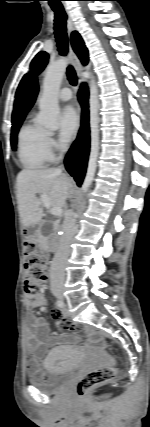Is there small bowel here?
Here are the masks:
<instances>
[{"label": "small bowel", "mask_w": 150, "mask_h": 427, "mask_svg": "<svg viewBox=\"0 0 150 427\" xmlns=\"http://www.w3.org/2000/svg\"><path fill=\"white\" fill-rule=\"evenodd\" d=\"M45 302L44 294L38 292L30 295L27 300L29 310L43 305ZM53 317L56 323L68 333H73L76 325L67 318H63V312L60 309L53 311ZM77 342V338L68 335H51L46 320L41 316L29 314L27 321V350L31 356L33 365L29 368V376L33 379H43L45 374L37 367L38 355L45 352L49 346L56 344L72 345ZM53 356L47 355L44 364L49 365Z\"/></svg>", "instance_id": "small-bowel-1"}]
</instances>
